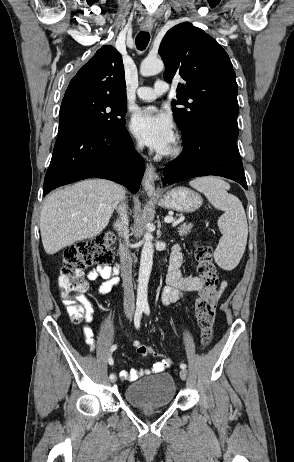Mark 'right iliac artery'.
Instances as JSON below:
<instances>
[{
    "label": "right iliac artery",
    "mask_w": 294,
    "mask_h": 462,
    "mask_svg": "<svg viewBox=\"0 0 294 462\" xmlns=\"http://www.w3.org/2000/svg\"><path fill=\"white\" fill-rule=\"evenodd\" d=\"M142 313H143V309L142 308H137L136 309V312H135V316H134V325L135 327L138 329L140 327V320H141V317H142ZM117 348L116 345H113L110 349V352L112 354L113 351H115ZM108 362L110 365H113L114 361L110 355L109 359H108ZM111 380L115 378V375L114 374H111L110 377H109Z\"/></svg>",
    "instance_id": "82829eb1"
}]
</instances>
